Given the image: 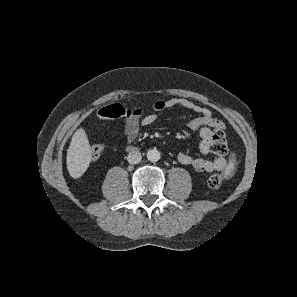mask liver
<instances>
[{
	"label": "liver",
	"mask_w": 297,
	"mask_h": 297,
	"mask_svg": "<svg viewBox=\"0 0 297 297\" xmlns=\"http://www.w3.org/2000/svg\"><path fill=\"white\" fill-rule=\"evenodd\" d=\"M92 159V151L86 133L82 128L75 131L67 151V169L74 179L81 177Z\"/></svg>",
	"instance_id": "liver-1"
}]
</instances>
